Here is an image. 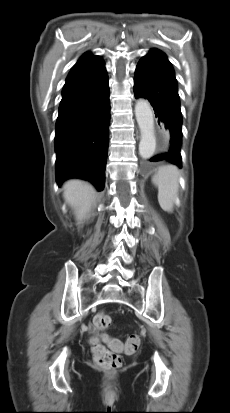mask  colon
Returning <instances> with one entry per match:
<instances>
[{
	"mask_svg": "<svg viewBox=\"0 0 230 413\" xmlns=\"http://www.w3.org/2000/svg\"><path fill=\"white\" fill-rule=\"evenodd\" d=\"M111 323V317L103 312H100L94 316V327L97 330H103L107 328ZM141 343V337L138 333L132 334L126 342L124 351L128 354H132L137 351ZM113 350L107 348L97 340L92 341V352L96 363L108 370H114L121 366L122 360L120 355L116 352L121 349V346L113 341Z\"/></svg>",
	"mask_w": 230,
	"mask_h": 413,
	"instance_id": "1",
	"label": "colon"
}]
</instances>
